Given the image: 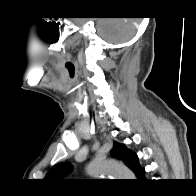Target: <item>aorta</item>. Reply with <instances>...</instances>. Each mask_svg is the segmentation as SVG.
<instances>
[{"mask_svg": "<svg viewBox=\"0 0 196 196\" xmlns=\"http://www.w3.org/2000/svg\"><path fill=\"white\" fill-rule=\"evenodd\" d=\"M87 172L92 176L109 175L116 179H134V174L128 167L111 159L93 160L89 163Z\"/></svg>", "mask_w": 196, "mask_h": 196, "instance_id": "obj_1", "label": "aorta"}]
</instances>
